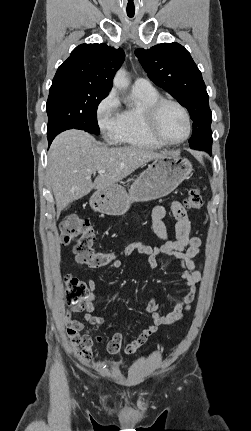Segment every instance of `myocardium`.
<instances>
[{"mask_svg": "<svg viewBox=\"0 0 251 431\" xmlns=\"http://www.w3.org/2000/svg\"><path fill=\"white\" fill-rule=\"evenodd\" d=\"M166 105L176 106L178 109L181 110V112L184 115L185 122H186V133L184 137L178 141H168L159 132V129H158L159 114L163 109V107ZM144 117H145V125L147 128V131L161 145L178 146L183 144L185 141H187L191 135L192 124H191L190 114L187 108L177 100H174L171 98H164V97L158 98L157 100H155L145 108Z\"/></svg>", "mask_w": 251, "mask_h": 431, "instance_id": "obj_1", "label": "myocardium"}]
</instances>
